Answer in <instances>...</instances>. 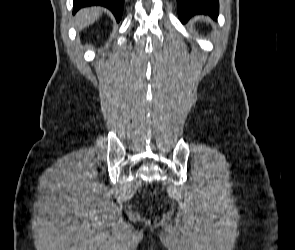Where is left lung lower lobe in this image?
<instances>
[{
    "mask_svg": "<svg viewBox=\"0 0 295 250\" xmlns=\"http://www.w3.org/2000/svg\"><path fill=\"white\" fill-rule=\"evenodd\" d=\"M178 15L182 22H186L195 14H206L213 18L218 16V0H177Z\"/></svg>",
    "mask_w": 295,
    "mask_h": 250,
    "instance_id": "left-lung-lower-lobe-1",
    "label": "left lung lower lobe"
}]
</instances>
